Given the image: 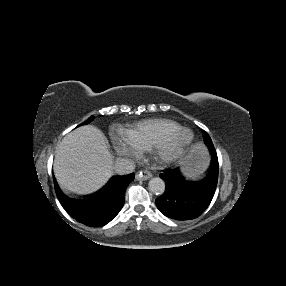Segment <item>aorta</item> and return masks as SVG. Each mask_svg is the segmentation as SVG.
<instances>
[{
  "label": "aorta",
  "mask_w": 286,
  "mask_h": 286,
  "mask_svg": "<svg viewBox=\"0 0 286 286\" xmlns=\"http://www.w3.org/2000/svg\"><path fill=\"white\" fill-rule=\"evenodd\" d=\"M148 188L153 194L162 195L165 192V182L159 177H154L150 179Z\"/></svg>",
  "instance_id": "aorta-1"
}]
</instances>
